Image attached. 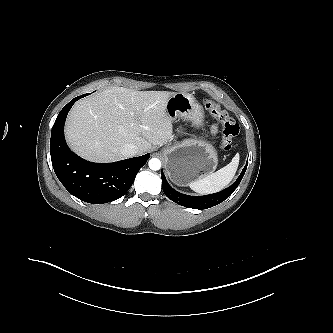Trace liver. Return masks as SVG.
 <instances>
[{
  "label": "liver",
  "instance_id": "6515ba94",
  "mask_svg": "<svg viewBox=\"0 0 333 333\" xmlns=\"http://www.w3.org/2000/svg\"><path fill=\"white\" fill-rule=\"evenodd\" d=\"M175 92L112 87L79 100L71 109L65 136L80 156L96 162L122 160L121 148L135 144L140 155L172 138L166 103Z\"/></svg>",
  "mask_w": 333,
  "mask_h": 333
}]
</instances>
